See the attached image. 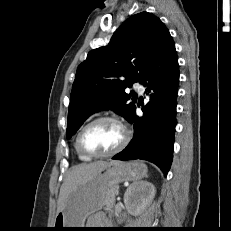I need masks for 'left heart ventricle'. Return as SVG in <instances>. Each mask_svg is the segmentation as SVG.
<instances>
[{
	"mask_svg": "<svg viewBox=\"0 0 231 231\" xmlns=\"http://www.w3.org/2000/svg\"><path fill=\"white\" fill-rule=\"evenodd\" d=\"M123 137L121 128L113 122H98L89 127L83 136L84 148L95 154L105 153L116 148Z\"/></svg>",
	"mask_w": 231,
	"mask_h": 231,
	"instance_id": "1",
	"label": "left heart ventricle"
}]
</instances>
